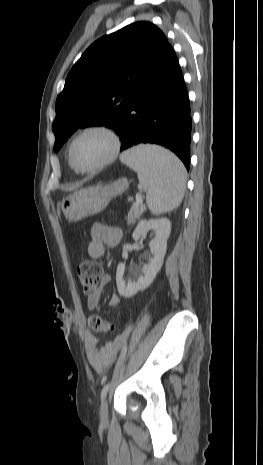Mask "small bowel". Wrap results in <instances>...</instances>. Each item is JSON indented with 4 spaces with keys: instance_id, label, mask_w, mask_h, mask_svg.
<instances>
[{
    "instance_id": "small-bowel-1",
    "label": "small bowel",
    "mask_w": 263,
    "mask_h": 465,
    "mask_svg": "<svg viewBox=\"0 0 263 465\" xmlns=\"http://www.w3.org/2000/svg\"><path fill=\"white\" fill-rule=\"evenodd\" d=\"M90 243L88 253L92 258H100L104 255L106 247L116 246L121 239L119 229L108 226L102 223H95L90 227ZM109 281V277L105 276L102 280V285ZM102 287L98 288L94 293L87 297V307L94 311L97 309L101 298ZM121 303V298L117 294L112 295L109 300L111 307H117ZM130 330L134 329L133 325L129 326ZM126 329L124 333L114 338L104 346H100V340L91 331L85 333V345L87 348V358L91 366L97 372H103L114 361L120 348L125 342L130 330Z\"/></svg>"
}]
</instances>
